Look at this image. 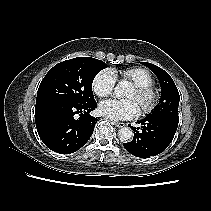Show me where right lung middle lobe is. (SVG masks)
Masks as SVG:
<instances>
[{"mask_svg": "<svg viewBox=\"0 0 211 211\" xmlns=\"http://www.w3.org/2000/svg\"><path fill=\"white\" fill-rule=\"evenodd\" d=\"M106 64L91 57H77L58 63L42 80L36 104L45 102L85 105L94 102L92 83Z\"/></svg>", "mask_w": 211, "mask_h": 211, "instance_id": "1", "label": "right lung middle lobe"}]
</instances>
